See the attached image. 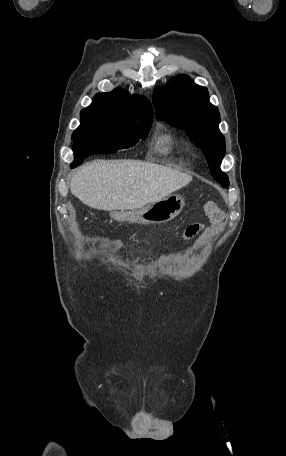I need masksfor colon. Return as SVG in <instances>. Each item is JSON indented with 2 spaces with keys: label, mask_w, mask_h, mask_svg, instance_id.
<instances>
[{
  "label": "colon",
  "mask_w": 286,
  "mask_h": 456,
  "mask_svg": "<svg viewBox=\"0 0 286 456\" xmlns=\"http://www.w3.org/2000/svg\"><path fill=\"white\" fill-rule=\"evenodd\" d=\"M205 208H206L207 211L215 210L216 209V204L214 202H207L206 205H205ZM195 225H197V224H195ZM191 226H193V225H191Z\"/></svg>",
  "instance_id": "5ec220e1"
}]
</instances>
